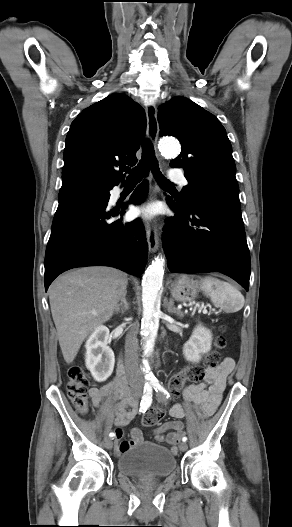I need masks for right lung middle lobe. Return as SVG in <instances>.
I'll list each match as a JSON object with an SVG mask.
<instances>
[{
	"instance_id": "right-lung-middle-lobe-1",
	"label": "right lung middle lobe",
	"mask_w": 292,
	"mask_h": 527,
	"mask_svg": "<svg viewBox=\"0 0 292 527\" xmlns=\"http://www.w3.org/2000/svg\"><path fill=\"white\" fill-rule=\"evenodd\" d=\"M112 185H105L98 183L96 181L88 180V179H74L66 182H62L61 189H68V188H79V189H91V190H98L102 192H106L110 189Z\"/></svg>"
}]
</instances>
